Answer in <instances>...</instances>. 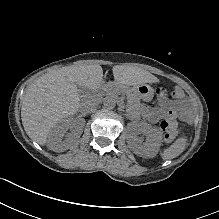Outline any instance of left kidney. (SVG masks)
I'll use <instances>...</instances> for the list:
<instances>
[{"label":"left kidney","instance_id":"left-kidney-1","mask_svg":"<svg viewBox=\"0 0 219 219\" xmlns=\"http://www.w3.org/2000/svg\"><path fill=\"white\" fill-rule=\"evenodd\" d=\"M147 134L148 136L146 142L143 145L140 144L144 140L141 137H138L137 140H130L132 144L135 143L133 150L136 153H139V150L141 153H147V158L155 157L158 155V151L161 146V138L163 135L159 131H155L154 133L147 132Z\"/></svg>","mask_w":219,"mask_h":219}]
</instances>
